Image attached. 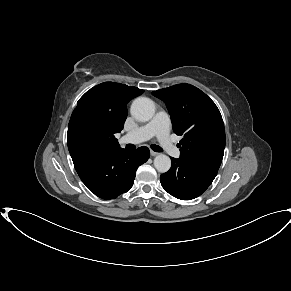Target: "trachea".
<instances>
[{"label": "trachea", "mask_w": 291, "mask_h": 291, "mask_svg": "<svg viewBox=\"0 0 291 291\" xmlns=\"http://www.w3.org/2000/svg\"><path fill=\"white\" fill-rule=\"evenodd\" d=\"M151 148L155 152H162L163 151V149L160 146L155 145V144L151 145Z\"/></svg>", "instance_id": "3493384b"}]
</instances>
